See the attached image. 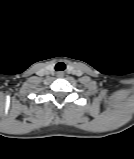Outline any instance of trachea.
I'll return each instance as SVG.
<instances>
[{
	"label": "trachea",
	"mask_w": 134,
	"mask_h": 159,
	"mask_svg": "<svg viewBox=\"0 0 134 159\" xmlns=\"http://www.w3.org/2000/svg\"><path fill=\"white\" fill-rule=\"evenodd\" d=\"M66 69V65L63 63V62H58L56 65H55V70L56 71H63Z\"/></svg>",
	"instance_id": "trachea-1"
}]
</instances>
